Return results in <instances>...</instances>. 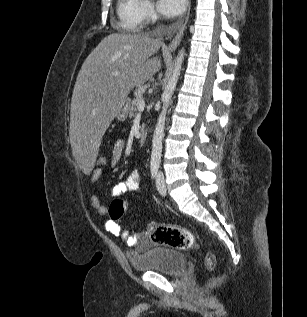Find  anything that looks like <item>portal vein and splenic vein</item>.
<instances>
[{"mask_svg":"<svg viewBox=\"0 0 307 317\" xmlns=\"http://www.w3.org/2000/svg\"><path fill=\"white\" fill-rule=\"evenodd\" d=\"M144 108H145V101L144 100H140V101H138V103H137V109H138V111H143L144 110Z\"/></svg>","mask_w":307,"mask_h":317,"instance_id":"18ae733b","label":"portal vein and splenic vein"}]
</instances>
